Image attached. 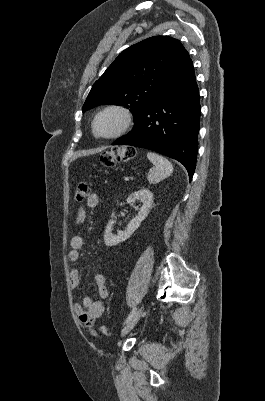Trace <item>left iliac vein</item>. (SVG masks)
Listing matches in <instances>:
<instances>
[{
    "label": "left iliac vein",
    "instance_id": "left-iliac-vein-1",
    "mask_svg": "<svg viewBox=\"0 0 265 401\" xmlns=\"http://www.w3.org/2000/svg\"><path fill=\"white\" fill-rule=\"evenodd\" d=\"M143 310H144V306L142 305L137 310V312L134 314V316L130 319V321L123 327V329L121 331L122 337L126 336L134 328V326L137 324V322L141 318Z\"/></svg>",
    "mask_w": 265,
    "mask_h": 401
}]
</instances>
